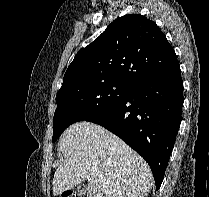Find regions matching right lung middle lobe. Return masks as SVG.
Listing matches in <instances>:
<instances>
[{
    "instance_id": "dd1d6c3e",
    "label": "right lung middle lobe",
    "mask_w": 209,
    "mask_h": 197,
    "mask_svg": "<svg viewBox=\"0 0 209 197\" xmlns=\"http://www.w3.org/2000/svg\"><path fill=\"white\" fill-rule=\"evenodd\" d=\"M133 87L115 80L81 82L62 87L57 94L53 142L68 126L84 121L122 100Z\"/></svg>"
}]
</instances>
